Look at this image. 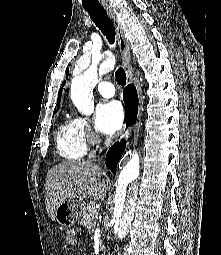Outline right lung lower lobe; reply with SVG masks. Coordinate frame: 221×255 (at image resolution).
<instances>
[{"mask_svg": "<svg viewBox=\"0 0 221 255\" xmlns=\"http://www.w3.org/2000/svg\"><path fill=\"white\" fill-rule=\"evenodd\" d=\"M123 99L126 107L127 125H131L135 122L138 112V96L132 84L125 88ZM124 147V141L115 143L107 152L106 165L113 173H115L116 163L121 157Z\"/></svg>", "mask_w": 221, "mask_h": 255, "instance_id": "1", "label": "right lung lower lobe"}]
</instances>
